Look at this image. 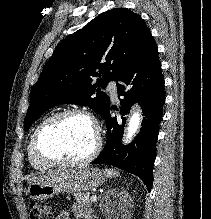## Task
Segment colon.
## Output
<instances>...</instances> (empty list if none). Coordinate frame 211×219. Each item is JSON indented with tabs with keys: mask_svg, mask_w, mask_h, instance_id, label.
<instances>
[{
	"mask_svg": "<svg viewBox=\"0 0 211 219\" xmlns=\"http://www.w3.org/2000/svg\"><path fill=\"white\" fill-rule=\"evenodd\" d=\"M30 219H53V214L49 207L33 203L30 205Z\"/></svg>",
	"mask_w": 211,
	"mask_h": 219,
	"instance_id": "5ec220e1",
	"label": "colon"
}]
</instances>
